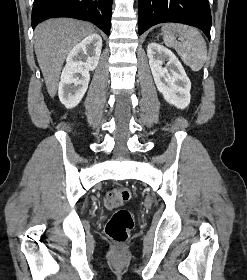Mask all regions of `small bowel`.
Returning a JSON list of instances; mask_svg holds the SVG:
<instances>
[{
	"label": "small bowel",
	"instance_id": "obj_1",
	"mask_svg": "<svg viewBox=\"0 0 247 280\" xmlns=\"http://www.w3.org/2000/svg\"><path fill=\"white\" fill-rule=\"evenodd\" d=\"M104 203L108 208H112L119 204L114 199V191H110L106 194V196L104 198Z\"/></svg>",
	"mask_w": 247,
	"mask_h": 280
}]
</instances>
